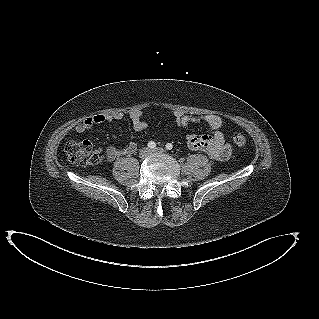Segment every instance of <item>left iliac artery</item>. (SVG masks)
I'll return each mask as SVG.
<instances>
[{"label":"left iliac artery","instance_id":"left-iliac-artery-1","mask_svg":"<svg viewBox=\"0 0 319 319\" xmlns=\"http://www.w3.org/2000/svg\"><path fill=\"white\" fill-rule=\"evenodd\" d=\"M173 148V145L171 143L166 144V149L171 150Z\"/></svg>","mask_w":319,"mask_h":319}]
</instances>
